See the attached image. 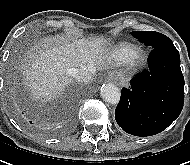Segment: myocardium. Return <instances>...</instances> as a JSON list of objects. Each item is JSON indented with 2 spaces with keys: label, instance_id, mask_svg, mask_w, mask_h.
Returning <instances> with one entry per match:
<instances>
[{
  "label": "myocardium",
  "instance_id": "myocardium-1",
  "mask_svg": "<svg viewBox=\"0 0 190 165\" xmlns=\"http://www.w3.org/2000/svg\"><path fill=\"white\" fill-rule=\"evenodd\" d=\"M146 56L141 50H137L129 59V65L133 69H138L145 64Z\"/></svg>",
  "mask_w": 190,
  "mask_h": 165
}]
</instances>
